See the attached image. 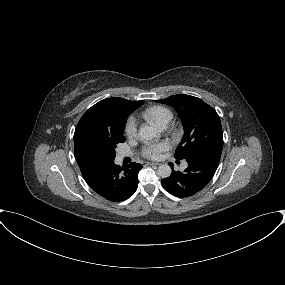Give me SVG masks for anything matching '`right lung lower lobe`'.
Masks as SVG:
<instances>
[{"label":"right lung lower lobe","mask_w":285,"mask_h":285,"mask_svg":"<svg viewBox=\"0 0 285 285\" xmlns=\"http://www.w3.org/2000/svg\"><path fill=\"white\" fill-rule=\"evenodd\" d=\"M141 164L131 163L120 167L113 162L95 163L80 168L87 184L100 196L110 201H124L138 187Z\"/></svg>","instance_id":"1"}]
</instances>
